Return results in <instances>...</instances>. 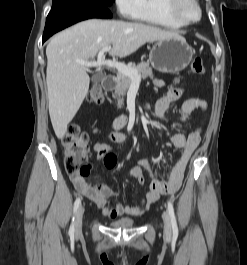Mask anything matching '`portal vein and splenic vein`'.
Instances as JSON below:
<instances>
[{"mask_svg":"<svg viewBox=\"0 0 247 265\" xmlns=\"http://www.w3.org/2000/svg\"><path fill=\"white\" fill-rule=\"evenodd\" d=\"M110 50H111V46L103 47L98 53L97 61H78V62L87 68L100 67V66H108L111 68H116L118 72L130 77L132 80H139L140 77L138 76V73L135 69L125 65L124 63L116 62L114 60L104 59V54L106 52H109Z\"/></svg>","mask_w":247,"mask_h":265,"instance_id":"1","label":"portal vein and splenic vein"}]
</instances>
